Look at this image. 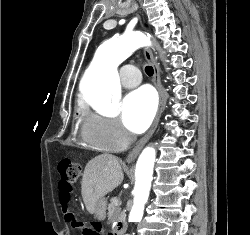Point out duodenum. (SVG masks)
<instances>
[{"mask_svg": "<svg viewBox=\"0 0 250 235\" xmlns=\"http://www.w3.org/2000/svg\"><path fill=\"white\" fill-rule=\"evenodd\" d=\"M123 233H124V227L117 226L113 234L114 235H123Z\"/></svg>", "mask_w": 250, "mask_h": 235, "instance_id": "duodenum-1", "label": "duodenum"}]
</instances>
